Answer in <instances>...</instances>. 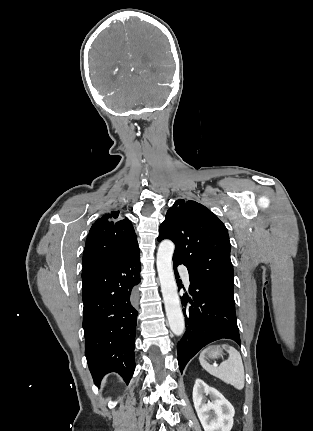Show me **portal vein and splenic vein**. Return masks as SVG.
<instances>
[{"mask_svg":"<svg viewBox=\"0 0 313 431\" xmlns=\"http://www.w3.org/2000/svg\"><path fill=\"white\" fill-rule=\"evenodd\" d=\"M218 365L217 364H214V367H217Z\"/></svg>","mask_w":313,"mask_h":431,"instance_id":"1","label":"portal vein and splenic vein"}]
</instances>
